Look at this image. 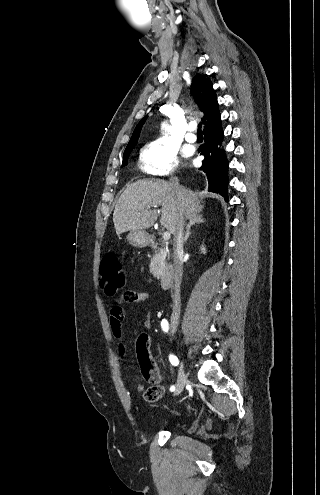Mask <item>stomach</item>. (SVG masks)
<instances>
[{"label": "stomach", "mask_w": 320, "mask_h": 495, "mask_svg": "<svg viewBox=\"0 0 320 495\" xmlns=\"http://www.w3.org/2000/svg\"><path fill=\"white\" fill-rule=\"evenodd\" d=\"M129 244L134 247H144L150 241V236L145 230H131L127 235Z\"/></svg>", "instance_id": "stomach-1"}]
</instances>
